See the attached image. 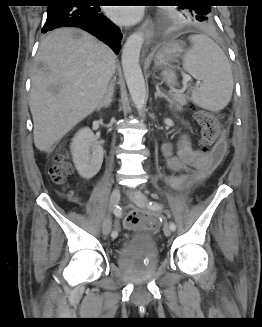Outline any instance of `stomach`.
Instances as JSON below:
<instances>
[{
  "label": "stomach",
  "mask_w": 262,
  "mask_h": 327,
  "mask_svg": "<svg viewBox=\"0 0 262 327\" xmlns=\"http://www.w3.org/2000/svg\"><path fill=\"white\" fill-rule=\"evenodd\" d=\"M183 51V46L178 41H172L171 45H163L156 55V65L165 67L172 62H177Z\"/></svg>",
  "instance_id": "obj_1"
}]
</instances>
